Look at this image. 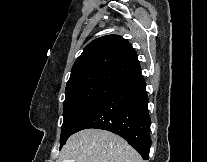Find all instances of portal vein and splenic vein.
<instances>
[{
    "mask_svg": "<svg viewBox=\"0 0 207 162\" xmlns=\"http://www.w3.org/2000/svg\"><path fill=\"white\" fill-rule=\"evenodd\" d=\"M66 162H74V161H66Z\"/></svg>",
    "mask_w": 207,
    "mask_h": 162,
    "instance_id": "18ae733b",
    "label": "portal vein and splenic vein"
}]
</instances>
